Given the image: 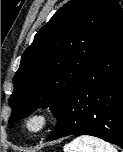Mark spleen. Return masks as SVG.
Instances as JSON below:
<instances>
[{
  "label": "spleen",
  "instance_id": "spleen-1",
  "mask_svg": "<svg viewBox=\"0 0 123 152\" xmlns=\"http://www.w3.org/2000/svg\"><path fill=\"white\" fill-rule=\"evenodd\" d=\"M64 152H117V150L97 137L81 135L65 145Z\"/></svg>",
  "mask_w": 123,
  "mask_h": 152
}]
</instances>
